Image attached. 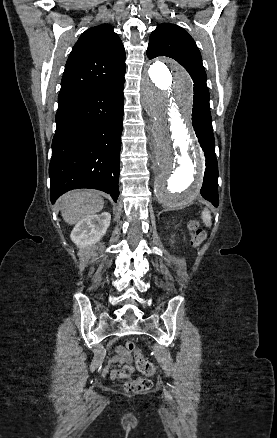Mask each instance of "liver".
<instances>
[{"instance_id":"liver-1","label":"liver","mask_w":277,"mask_h":438,"mask_svg":"<svg viewBox=\"0 0 277 438\" xmlns=\"http://www.w3.org/2000/svg\"><path fill=\"white\" fill-rule=\"evenodd\" d=\"M61 216L67 224H77L86 216L101 212L104 200L97 196L93 190H73L61 196Z\"/></svg>"}]
</instances>
